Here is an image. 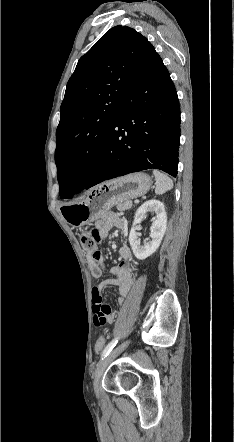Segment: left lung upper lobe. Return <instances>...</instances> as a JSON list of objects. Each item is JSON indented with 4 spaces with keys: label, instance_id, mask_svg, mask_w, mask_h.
I'll return each mask as SVG.
<instances>
[{
    "label": "left lung upper lobe",
    "instance_id": "1",
    "mask_svg": "<svg viewBox=\"0 0 234 442\" xmlns=\"http://www.w3.org/2000/svg\"><path fill=\"white\" fill-rule=\"evenodd\" d=\"M154 51L140 33L118 25L78 61L67 83L56 131L55 163L62 199L81 192L86 184L124 95Z\"/></svg>",
    "mask_w": 234,
    "mask_h": 442
}]
</instances>
